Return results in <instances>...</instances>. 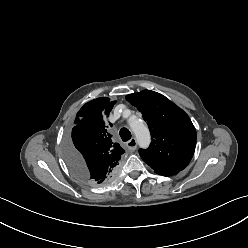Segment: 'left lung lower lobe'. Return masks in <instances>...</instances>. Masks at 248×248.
Instances as JSON below:
<instances>
[{"mask_svg": "<svg viewBox=\"0 0 248 248\" xmlns=\"http://www.w3.org/2000/svg\"><path fill=\"white\" fill-rule=\"evenodd\" d=\"M178 172H172V173H158L159 175H162V176H171V175H174V174H177Z\"/></svg>", "mask_w": 248, "mask_h": 248, "instance_id": "1", "label": "left lung lower lobe"}]
</instances>
